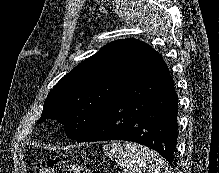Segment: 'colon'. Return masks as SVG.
I'll list each match as a JSON object with an SVG mask.
<instances>
[{
  "label": "colon",
  "mask_w": 219,
  "mask_h": 173,
  "mask_svg": "<svg viewBox=\"0 0 219 173\" xmlns=\"http://www.w3.org/2000/svg\"><path fill=\"white\" fill-rule=\"evenodd\" d=\"M37 173H92V171L88 167L63 159L48 158L40 163Z\"/></svg>",
  "instance_id": "obj_1"
}]
</instances>
